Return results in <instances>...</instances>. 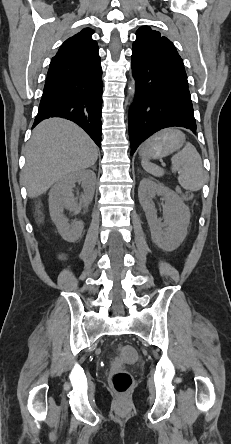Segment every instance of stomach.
<instances>
[{"instance_id": "stomach-1", "label": "stomach", "mask_w": 231, "mask_h": 444, "mask_svg": "<svg viewBox=\"0 0 231 444\" xmlns=\"http://www.w3.org/2000/svg\"><path fill=\"white\" fill-rule=\"evenodd\" d=\"M185 136L178 130H165L146 142L140 151L143 158H161L182 147Z\"/></svg>"}]
</instances>
